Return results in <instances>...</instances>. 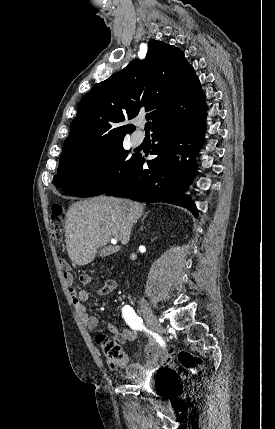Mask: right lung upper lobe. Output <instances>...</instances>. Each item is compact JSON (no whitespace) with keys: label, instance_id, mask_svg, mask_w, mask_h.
<instances>
[{"label":"right lung upper lobe","instance_id":"obj_1","mask_svg":"<svg viewBox=\"0 0 275 429\" xmlns=\"http://www.w3.org/2000/svg\"><path fill=\"white\" fill-rule=\"evenodd\" d=\"M206 109L205 95L193 67L178 48L151 40L144 60L97 83L80 102L64 142L59 165L123 140L134 130L125 125L147 113L153 133L193 118Z\"/></svg>","mask_w":275,"mask_h":429}]
</instances>
